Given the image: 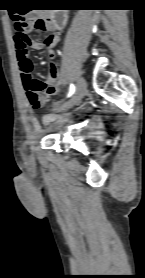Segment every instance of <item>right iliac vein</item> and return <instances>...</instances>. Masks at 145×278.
<instances>
[{"instance_id": "1", "label": "right iliac vein", "mask_w": 145, "mask_h": 278, "mask_svg": "<svg viewBox=\"0 0 145 278\" xmlns=\"http://www.w3.org/2000/svg\"><path fill=\"white\" fill-rule=\"evenodd\" d=\"M85 92H86V82L82 77H80L77 81V88L74 95L67 102H65L61 107H59L58 111H65L73 108L75 105H77L80 102Z\"/></svg>"}]
</instances>
